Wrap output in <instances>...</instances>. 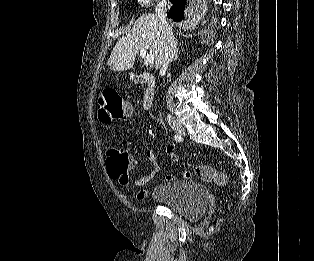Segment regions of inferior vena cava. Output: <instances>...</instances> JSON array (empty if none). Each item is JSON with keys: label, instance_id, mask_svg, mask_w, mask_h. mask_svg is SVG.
Returning a JSON list of instances; mask_svg holds the SVG:
<instances>
[{"label": "inferior vena cava", "instance_id": "602c4592", "mask_svg": "<svg viewBox=\"0 0 314 261\" xmlns=\"http://www.w3.org/2000/svg\"><path fill=\"white\" fill-rule=\"evenodd\" d=\"M166 6H167L166 0H161L156 7V14L161 21L162 32L164 36V46L162 54L163 68H167L170 65L177 51V41L173 35L172 28L168 24L165 17ZM168 118H170L169 115Z\"/></svg>", "mask_w": 314, "mask_h": 261}]
</instances>
